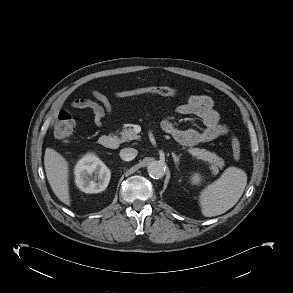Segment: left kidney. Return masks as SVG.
I'll list each match as a JSON object with an SVG mask.
<instances>
[{
    "instance_id": "left-kidney-1",
    "label": "left kidney",
    "mask_w": 293,
    "mask_h": 293,
    "mask_svg": "<svg viewBox=\"0 0 293 293\" xmlns=\"http://www.w3.org/2000/svg\"><path fill=\"white\" fill-rule=\"evenodd\" d=\"M190 181L194 185H199L202 181L201 175L199 173H195L191 176Z\"/></svg>"
}]
</instances>
